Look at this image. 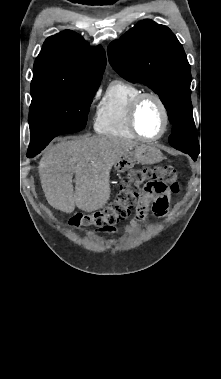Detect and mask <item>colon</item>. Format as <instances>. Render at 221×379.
Masks as SVG:
<instances>
[{
    "mask_svg": "<svg viewBox=\"0 0 221 379\" xmlns=\"http://www.w3.org/2000/svg\"><path fill=\"white\" fill-rule=\"evenodd\" d=\"M179 188V176L172 166L137 168L122 182L117 198L109 206L91 213H78L69 223L76 229L92 226L103 231L110 230L130 216L144 194H162L168 190L177 193Z\"/></svg>",
    "mask_w": 221,
    "mask_h": 379,
    "instance_id": "colon-1",
    "label": "colon"
}]
</instances>
